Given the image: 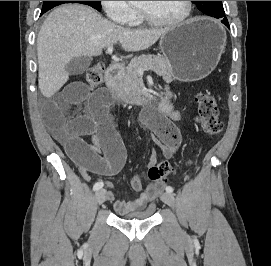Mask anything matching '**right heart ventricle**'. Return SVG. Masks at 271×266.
I'll use <instances>...</instances> for the list:
<instances>
[{
    "mask_svg": "<svg viewBox=\"0 0 271 266\" xmlns=\"http://www.w3.org/2000/svg\"><path fill=\"white\" fill-rule=\"evenodd\" d=\"M142 21H143V19H142L141 15L137 13L134 21L131 24H133V25L140 24Z\"/></svg>",
    "mask_w": 271,
    "mask_h": 266,
    "instance_id": "e07e8e85",
    "label": "right heart ventricle"
}]
</instances>
